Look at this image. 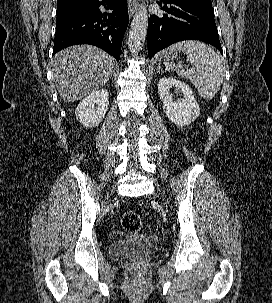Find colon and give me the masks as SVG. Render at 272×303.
<instances>
[{"instance_id":"5ec220e1","label":"colon","mask_w":272,"mask_h":303,"mask_svg":"<svg viewBox=\"0 0 272 303\" xmlns=\"http://www.w3.org/2000/svg\"><path fill=\"white\" fill-rule=\"evenodd\" d=\"M122 227L129 232H137L142 227V221L135 211H127L121 218Z\"/></svg>"}]
</instances>
